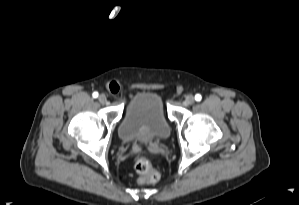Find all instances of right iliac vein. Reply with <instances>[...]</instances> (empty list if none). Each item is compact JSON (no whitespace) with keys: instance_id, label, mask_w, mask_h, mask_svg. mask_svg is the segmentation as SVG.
Returning <instances> with one entry per match:
<instances>
[{"instance_id":"63e3f726","label":"right iliac vein","mask_w":299,"mask_h":205,"mask_svg":"<svg viewBox=\"0 0 299 205\" xmlns=\"http://www.w3.org/2000/svg\"><path fill=\"white\" fill-rule=\"evenodd\" d=\"M98 100L101 104H105L107 102V98L104 94H101L99 97H98Z\"/></svg>"}]
</instances>
